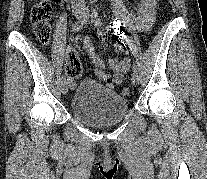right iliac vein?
I'll return each mask as SVG.
<instances>
[{"label":"right iliac vein","instance_id":"63e3f726","mask_svg":"<svg viewBox=\"0 0 207 179\" xmlns=\"http://www.w3.org/2000/svg\"><path fill=\"white\" fill-rule=\"evenodd\" d=\"M81 15H82L81 12H75V13H74V16H75L76 19H80V18H81ZM68 88H69V85H68V84L64 83V84L62 85V93H63L64 95L67 94V92H68Z\"/></svg>","mask_w":207,"mask_h":179}]
</instances>
